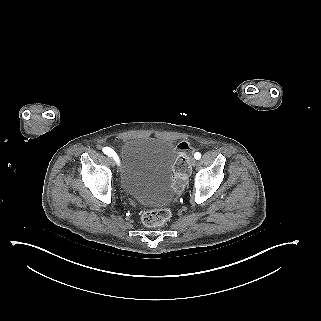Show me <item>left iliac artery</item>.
Listing matches in <instances>:
<instances>
[{"instance_id": "1", "label": "left iliac artery", "mask_w": 321, "mask_h": 321, "mask_svg": "<svg viewBox=\"0 0 321 321\" xmlns=\"http://www.w3.org/2000/svg\"><path fill=\"white\" fill-rule=\"evenodd\" d=\"M194 158H195L196 160H199V159L201 158V154H200L199 152H196V153L194 154Z\"/></svg>"}]
</instances>
